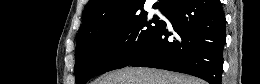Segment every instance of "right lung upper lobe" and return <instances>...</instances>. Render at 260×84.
I'll return each mask as SVG.
<instances>
[{
	"instance_id": "right-lung-upper-lobe-1",
	"label": "right lung upper lobe",
	"mask_w": 260,
	"mask_h": 84,
	"mask_svg": "<svg viewBox=\"0 0 260 84\" xmlns=\"http://www.w3.org/2000/svg\"><path fill=\"white\" fill-rule=\"evenodd\" d=\"M177 0H158L153 8L165 11ZM145 0H89L84 12L83 22L77 35V41L85 37L91 28L104 21H118L143 10Z\"/></svg>"
}]
</instances>
